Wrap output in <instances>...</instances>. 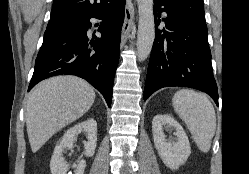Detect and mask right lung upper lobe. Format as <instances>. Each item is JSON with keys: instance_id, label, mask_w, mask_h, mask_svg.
Returning a JSON list of instances; mask_svg holds the SVG:
<instances>
[{"instance_id": "cb5924a9", "label": "right lung upper lobe", "mask_w": 249, "mask_h": 174, "mask_svg": "<svg viewBox=\"0 0 249 174\" xmlns=\"http://www.w3.org/2000/svg\"><path fill=\"white\" fill-rule=\"evenodd\" d=\"M114 0H53L50 21L47 28H52L61 22L88 16L105 10Z\"/></svg>"}]
</instances>
